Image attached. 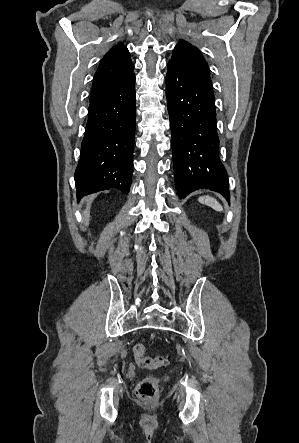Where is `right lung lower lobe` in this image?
Wrapping results in <instances>:
<instances>
[{
	"mask_svg": "<svg viewBox=\"0 0 299 443\" xmlns=\"http://www.w3.org/2000/svg\"><path fill=\"white\" fill-rule=\"evenodd\" d=\"M135 77L90 101L75 171L77 199L115 188L128 193L135 132Z\"/></svg>",
	"mask_w": 299,
	"mask_h": 443,
	"instance_id": "right-lung-lower-lobe-1",
	"label": "right lung lower lobe"
}]
</instances>
